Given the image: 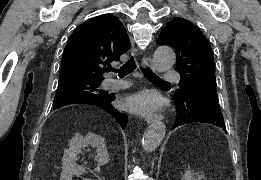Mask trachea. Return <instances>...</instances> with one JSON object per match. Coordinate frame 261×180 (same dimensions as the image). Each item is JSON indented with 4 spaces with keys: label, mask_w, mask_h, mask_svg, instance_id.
Segmentation results:
<instances>
[{
    "label": "trachea",
    "mask_w": 261,
    "mask_h": 180,
    "mask_svg": "<svg viewBox=\"0 0 261 180\" xmlns=\"http://www.w3.org/2000/svg\"><path fill=\"white\" fill-rule=\"evenodd\" d=\"M135 68H136V64L132 56L128 60V62L124 63V65H122V67L116 71V73H119L120 78H122L123 76L129 75L130 73L134 72ZM141 70L145 75V77L148 78V80H150V82L156 84H169V82H166L165 80H162V78H159L154 72H152V70L149 67L147 68L142 67ZM106 71L110 72L115 70L112 69V67L110 66L106 68Z\"/></svg>",
    "instance_id": "1"
}]
</instances>
